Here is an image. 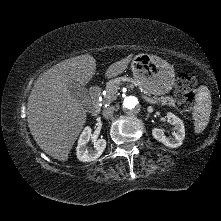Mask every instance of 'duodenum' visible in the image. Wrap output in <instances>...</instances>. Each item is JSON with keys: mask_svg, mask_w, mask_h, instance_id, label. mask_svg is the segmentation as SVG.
<instances>
[{"mask_svg": "<svg viewBox=\"0 0 221 221\" xmlns=\"http://www.w3.org/2000/svg\"><path fill=\"white\" fill-rule=\"evenodd\" d=\"M90 96L92 101L91 113L97 115L100 110L101 88L99 86L92 87L90 90Z\"/></svg>", "mask_w": 221, "mask_h": 221, "instance_id": "410a0bca", "label": "duodenum"}]
</instances>
